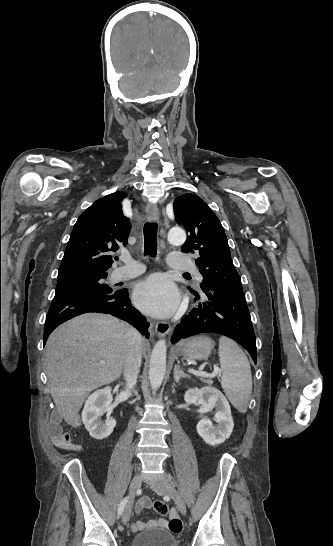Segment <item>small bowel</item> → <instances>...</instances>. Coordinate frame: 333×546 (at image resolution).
I'll return each mask as SVG.
<instances>
[{
	"label": "small bowel",
	"instance_id": "small-bowel-1",
	"mask_svg": "<svg viewBox=\"0 0 333 546\" xmlns=\"http://www.w3.org/2000/svg\"><path fill=\"white\" fill-rule=\"evenodd\" d=\"M62 418L61 417H52L48 424V433L50 435L51 441L53 444L59 448L70 450L74 452H82L83 448L82 446L78 444H74L71 441V437L69 434L64 433L62 429ZM75 426H78L76 422H74ZM150 507V500L148 498H143L139 503V509L143 508H149ZM160 523L166 524L167 522L164 520L157 521ZM155 522H149V524H152ZM169 527L174 532H179L181 530V523L178 520V514L175 509H172L170 511V521L168 522ZM145 526V523L138 521L131 525V531L137 532L141 530Z\"/></svg>",
	"mask_w": 333,
	"mask_h": 546
}]
</instances>
